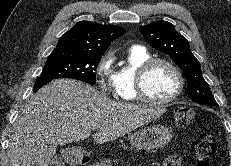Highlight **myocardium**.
Wrapping results in <instances>:
<instances>
[{
    "mask_svg": "<svg viewBox=\"0 0 231 166\" xmlns=\"http://www.w3.org/2000/svg\"><path fill=\"white\" fill-rule=\"evenodd\" d=\"M157 64H165L172 69L174 72L176 79H177V88L174 93L166 98V99H155L152 98L146 91L145 88V80L147 77L148 72L152 67ZM185 86V80L182 71L180 68L170 59L163 58V57H155L150 58L143 62L137 69L136 77H135V90L137 99L152 104V105H159V106H166L174 102L183 92Z\"/></svg>",
    "mask_w": 231,
    "mask_h": 166,
    "instance_id": "obj_1",
    "label": "myocardium"
}]
</instances>
